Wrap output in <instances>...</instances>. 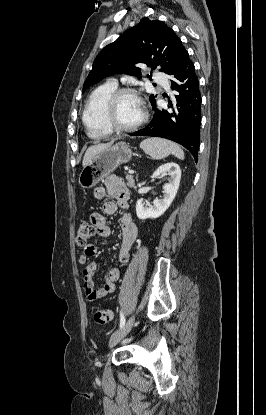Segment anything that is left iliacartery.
Segmentation results:
<instances>
[{"instance_id": "44dca946", "label": "left iliac artery", "mask_w": 266, "mask_h": 415, "mask_svg": "<svg viewBox=\"0 0 266 415\" xmlns=\"http://www.w3.org/2000/svg\"><path fill=\"white\" fill-rule=\"evenodd\" d=\"M125 324V317L123 315V313H120V328L123 327V325Z\"/></svg>"}]
</instances>
